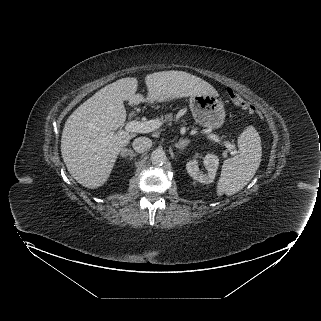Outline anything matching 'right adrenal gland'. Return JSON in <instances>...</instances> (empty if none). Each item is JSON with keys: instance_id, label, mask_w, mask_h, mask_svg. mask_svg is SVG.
<instances>
[{"instance_id": "1", "label": "right adrenal gland", "mask_w": 321, "mask_h": 321, "mask_svg": "<svg viewBox=\"0 0 321 321\" xmlns=\"http://www.w3.org/2000/svg\"><path fill=\"white\" fill-rule=\"evenodd\" d=\"M121 156H130L131 159L135 156H137L136 153L132 149L124 148L122 149Z\"/></svg>"}]
</instances>
